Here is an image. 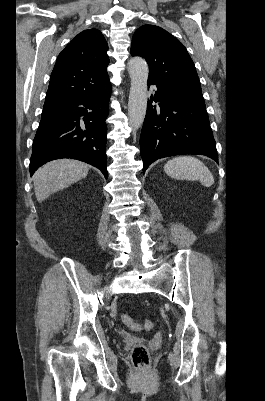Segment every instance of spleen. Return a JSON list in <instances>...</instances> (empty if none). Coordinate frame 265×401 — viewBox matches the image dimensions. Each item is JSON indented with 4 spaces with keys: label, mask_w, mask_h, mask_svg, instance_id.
<instances>
[{
    "label": "spleen",
    "mask_w": 265,
    "mask_h": 401,
    "mask_svg": "<svg viewBox=\"0 0 265 401\" xmlns=\"http://www.w3.org/2000/svg\"><path fill=\"white\" fill-rule=\"evenodd\" d=\"M164 170L178 180H200L204 186H211L214 182L212 172L195 156H176L167 160Z\"/></svg>",
    "instance_id": "3e777b00"
}]
</instances>
